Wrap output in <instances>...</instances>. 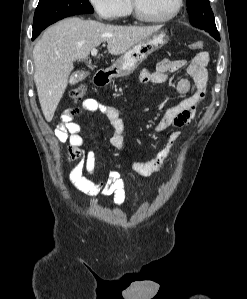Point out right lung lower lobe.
Segmentation results:
<instances>
[{"label": "right lung lower lobe", "instance_id": "obj_1", "mask_svg": "<svg viewBox=\"0 0 247 299\" xmlns=\"http://www.w3.org/2000/svg\"><path fill=\"white\" fill-rule=\"evenodd\" d=\"M38 35H33L32 36V40H34Z\"/></svg>", "mask_w": 247, "mask_h": 299}]
</instances>
